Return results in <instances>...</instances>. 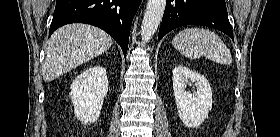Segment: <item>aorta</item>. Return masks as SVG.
<instances>
[{"label": "aorta", "instance_id": "aorta-1", "mask_svg": "<svg viewBox=\"0 0 280 137\" xmlns=\"http://www.w3.org/2000/svg\"><path fill=\"white\" fill-rule=\"evenodd\" d=\"M166 0H148L141 25V37L148 42L155 34L164 14Z\"/></svg>", "mask_w": 280, "mask_h": 137}]
</instances>
